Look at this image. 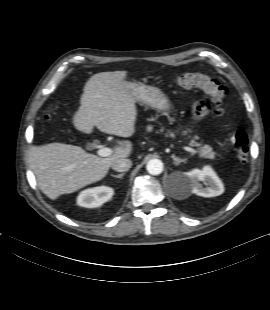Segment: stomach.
Wrapping results in <instances>:
<instances>
[{
  "instance_id": "1",
  "label": "stomach",
  "mask_w": 270,
  "mask_h": 310,
  "mask_svg": "<svg viewBox=\"0 0 270 310\" xmlns=\"http://www.w3.org/2000/svg\"><path fill=\"white\" fill-rule=\"evenodd\" d=\"M127 86L135 102L148 104L159 111L170 109L168 98L159 88L132 82H127Z\"/></svg>"
}]
</instances>
